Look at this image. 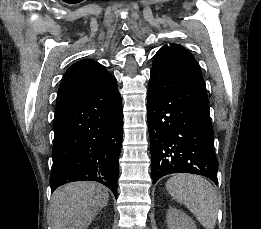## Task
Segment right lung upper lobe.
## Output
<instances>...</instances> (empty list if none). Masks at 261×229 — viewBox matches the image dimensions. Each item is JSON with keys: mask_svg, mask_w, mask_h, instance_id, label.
<instances>
[{"mask_svg": "<svg viewBox=\"0 0 261 229\" xmlns=\"http://www.w3.org/2000/svg\"><path fill=\"white\" fill-rule=\"evenodd\" d=\"M112 75L104 66L84 59L72 65L65 73L57 95L56 112L85 93L99 86Z\"/></svg>", "mask_w": 261, "mask_h": 229, "instance_id": "cb5924a9", "label": "right lung upper lobe"}]
</instances>
